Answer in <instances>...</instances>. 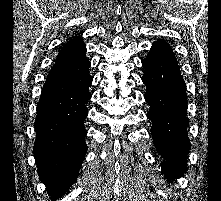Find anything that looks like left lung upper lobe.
<instances>
[{
  "mask_svg": "<svg viewBox=\"0 0 221 201\" xmlns=\"http://www.w3.org/2000/svg\"><path fill=\"white\" fill-rule=\"evenodd\" d=\"M149 54L164 59L166 61L178 63L174 56L173 50L164 40L155 41L151 47Z\"/></svg>",
  "mask_w": 221,
  "mask_h": 201,
  "instance_id": "5c2ea615",
  "label": "left lung upper lobe"
}]
</instances>
